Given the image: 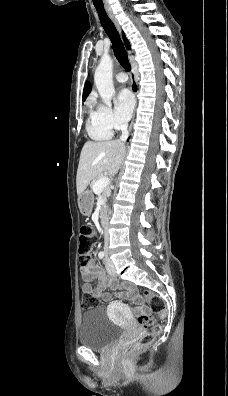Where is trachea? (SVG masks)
Returning <instances> with one entry per match:
<instances>
[{"label": "trachea", "mask_w": 228, "mask_h": 396, "mask_svg": "<svg viewBox=\"0 0 228 396\" xmlns=\"http://www.w3.org/2000/svg\"><path fill=\"white\" fill-rule=\"evenodd\" d=\"M97 13L99 15L100 22L102 24V27L104 28L106 34L110 38L113 49H114V54L119 61V63L122 65V67L126 71H130L131 66L127 57V53L125 51V48L123 46V43L121 41L120 35L114 25V23L111 21V19L108 17L104 7H99L95 6Z\"/></svg>", "instance_id": "3493384b"}]
</instances>
